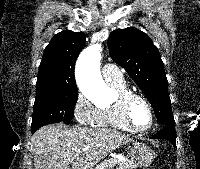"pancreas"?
Here are the masks:
<instances>
[{
    "mask_svg": "<svg viewBox=\"0 0 200 169\" xmlns=\"http://www.w3.org/2000/svg\"><path fill=\"white\" fill-rule=\"evenodd\" d=\"M115 166H116L115 169H134L136 167V164L128 159L119 160L117 158H111L99 164L94 169H113Z\"/></svg>",
    "mask_w": 200,
    "mask_h": 169,
    "instance_id": "pancreas-1",
    "label": "pancreas"
}]
</instances>
